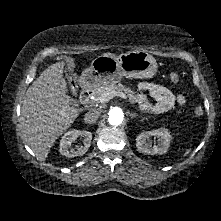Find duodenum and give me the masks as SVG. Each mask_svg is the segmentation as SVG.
<instances>
[{"label":"duodenum","instance_id":"410a0bca","mask_svg":"<svg viewBox=\"0 0 221 221\" xmlns=\"http://www.w3.org/2000/svg\"><path fill=\"white\" fill-rule=\"evenodd\" d=\"M94 90L90 86H85L80 93V102L84 107H88L91 103Z\"/></svg>","mask_w":221,"mask_h":221}]
</instances>
